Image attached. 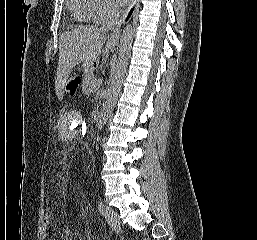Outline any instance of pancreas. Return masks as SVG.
Masks as SVG:
<instances>
[{
  "instance_id": "cf45deb5",
  "label": "pancreas",
  "mask_w": 257,
  "mask_h": 240,
  "mask_svg": "<svg viewBox=\"0 0 257 240\" xmlns=\"http://www.w3.org/2000/svg\"><path fill=\"white\" fill-rule=\"evenodd\" d=\"M96 86L99 87L100 83L99 81L95 80L94 74L92 72H86V76L83 81V92L85 94H88L91 92V89Z\"/></svg>"
}]
</instances>
